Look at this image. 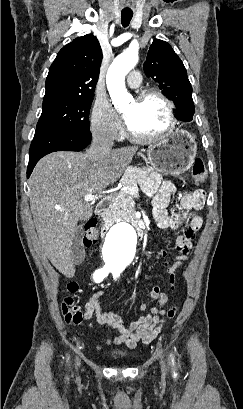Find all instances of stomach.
<instances>
[{
  "label": "stomach",
  "instance_id": "1",
  "mask_svg": "<svg viewBox=\"0 0 243 409\" xmlns=\"http://www.w3.org/2000/svg\"><path fill=\"white\" fill-rule=\"evenodd\" d=\"M197 153L195 138L187 131L175 130L146 150L144 160L152 169L167 175L188 170Z\"/></svg>",
  "mask_w": 243,
  "mask_h": 409
}]
</instances>
